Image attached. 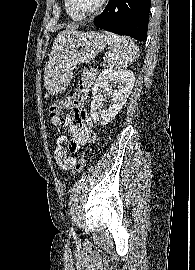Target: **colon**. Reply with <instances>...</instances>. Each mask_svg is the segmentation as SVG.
Returning <instances> with one entry per match:
<instances>
[{
	"mask_svg": "<svg viewBox=\"0 0 195 270\" xmlns=\"http://www.w3.org/2000/svg\"><path fill=\"white\" fill-rule=\"evenodd\" d=\"M66 108V105L64 103V99L57 100L50 104L48 109V114L50 118L57 117L63 112ZM85 164V158L84 156H81V158L77 161L76 165L74 166L73 174L75 176H78Z\"/></svg>",
	"mask_w": 195,
	"mask_h": 270,
	"instance_id": "colon-1",
	"label": "colon"
}]
</instances>
